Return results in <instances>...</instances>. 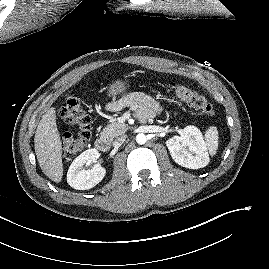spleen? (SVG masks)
I'll return each mask as SVG.
<instances>
[{
    "label": "spleen",
    "instance_id": "spleen-1",
    "mask_svg": "<svg viewBox=\"0 0 269 269\" xmlns=\"http://www.w3.org/2000/svg\"><path fill=\"white\" fill-rule=\"evenodd\" d=\"M218 130L216 126H211L205 132V144L209 153L213 156L218 149Z\"/></svg>",
    "mask_w": 269,
    "mask_h": 269
}]
</instances>
